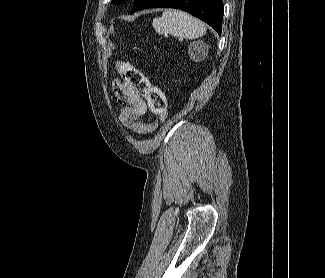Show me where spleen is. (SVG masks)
<instances>
[{
  "label": "spleen",
  "mask_w": 325,
  "mask_h": 278,
  "mask_svg": "<svg viewBox=\"0 0 325 278\" xmlns=\"http://www.w3.org/2000/svg\"><path fill=\"white\" fill-rule=\"evenodd\" d=\"M152 26L159 34L167 33L189 40L206 33V27L201 21L182 11H164L160 17L153 19Z\"/></svg>",
  "instance_id": "1"
}]
</instances>
